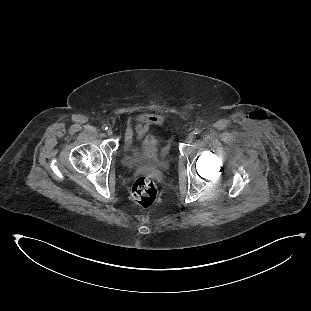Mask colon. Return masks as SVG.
<instances>
[{
    "label": "colon",
    "instance_id": "5ec220e1",
    "mask_svg": "<svg viewBox=\"0 0 311 311\" xmlns=\"http://www.w3.org/2000/svg\"><path fill=\"white\" fill-rule=\"evenodd\" d=\"M132 199L140 207H149L157 199L158 191L154 182L148 177H137L132 184Z\"/></svg>",
    "mask_w": 311,
    "mask_h": 311
}]
</instances>
